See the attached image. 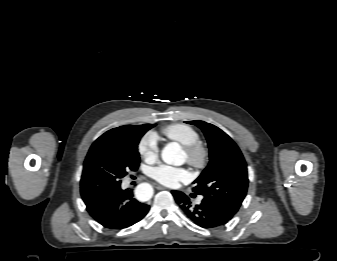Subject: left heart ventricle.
Returning <instances> with one entry per match:
<instances>
[{
	"instance_id": "obj_1",
	"label": "left heart ventricle",
	"mask_w": 337,
	"mask_h": 261,
	"mask_svg": "<svg viewBox=\"0 0 337 261\" xmlns=\"http://www.w3.org/2000/svg\"><path fill=\"white\" fill-rule=\"evenodd\" d=\"M184 159H185V160L187 159L186 153H184Z\"/></svg>"
}]
</instances>
